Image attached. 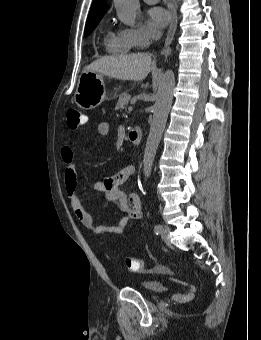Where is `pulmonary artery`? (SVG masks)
Returning a JSON list of instances; mask_svg holds the SVG:
<instances>
[{
	"mask_svg": "<svg viewBox=\"0 0 261 340\" xmlns=\"http://www.w3.org/2000/svg\"><path fill=\"white\" fill-rule=\"evenodd\" d=\"M146 3L148 4H154L156 3L158 0H144Z\"/></svg>",
	"mask_w": 261,
	"mask_h": 340,
	"instance_id": "pulmonary-artery-1",
	"label": "pulmonary artery"
}]
</instances>
